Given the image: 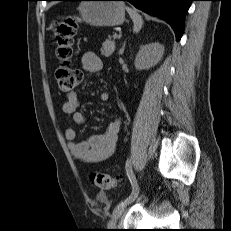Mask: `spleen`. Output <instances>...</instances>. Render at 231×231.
Segmentation results:
<instances>
[{
  "label": "spleen",
  "instance_id": "spleen-1",
  "mask_svg": "<svg viewBox=\"0 0 231 231\" xmlns=\"http://www.w3.org/2000/svg\"><path fill=\"white\" fill-rule=\"evenodd\" d=\"M126 10L133 21L134 24L133 31L138 33L143 26L142 17L136 12V10L132 8L126 7Z\"/></svg>",
  "mask_w": 231,
  "mask_h": 231
}]
</instances>
